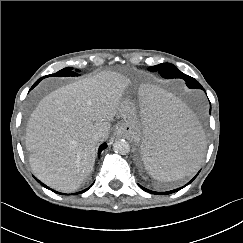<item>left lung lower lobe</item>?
Listing matches in <instances>:
<instances>
[{"label": "left lung lower lobe", "mask_w": 243, "mask_h": 243, "mask_svg": "<svg viewBox=\"0 0 243 243\" xmlns=\"http://www.w3.org/2000/svg\"><path fill=\"white\" fill-rule=\"evenodd\" d=\"M187 86L189 87V88H199V89H202V90H204L203 89V87L199 84V85H193V84H191V83H187ZM198 175V174H197ZM196 175V176H197ZM196 176L188 183V184H190L195 178H196ZM187 184V185H188ZM140 186V185H139ZM144 191H146V192H148V193H152V194H171V193H174V192H177L178 190H180L181 188H183V187H181V188H178V189H175V190H172V191H168V192H163V193H159V192H154V191H151V190H148V189H146V188H144V187H142V186H140Z\"/></svg>", "instance_id": "obj_1"}]
</instances>
